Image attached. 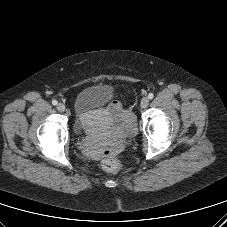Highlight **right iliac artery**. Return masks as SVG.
Returning <instances> with one entry per match:
<instances>
[{"label":"right iliac artery","instance_id":"obj_1","mask_svg":"<svg viewBox=\"0 0 227 227\" xmlns=\"http://www.w3.org/2000/svg\"><path fill=\"white\" fill-rule=\"evenodd\" d=\"M52 104H53V105H57V104H58L57 100H53V101H52Z\"/></svg>","mask_w":227,"mask_h":227}]
</instances>
